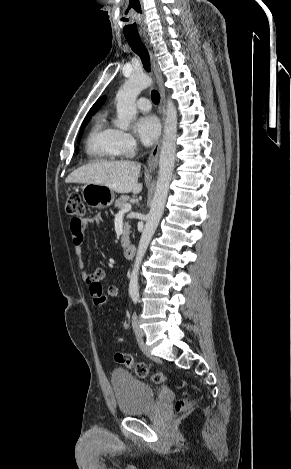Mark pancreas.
<instances>
[{
    "instance_id": "1",
    "label": "pancreas",
    "mask_w": 291,
    "mask_h": 469,
    "mask_svg": "<svg viewBox=\"0 0 291 469\" xmlns=\"http://www.w3.org/2000/svg\"><path fill=\"white\" fill-rule=\"evenodd\" d=\"M129 200H130L129 196L122 195L115 201V207L122 209L126 204H128ZM128 240H129V224L127 222L124 225V231H123V235L121 238V242L123 245H125L128 242Z\"/></svg>"
}]
</instances>
